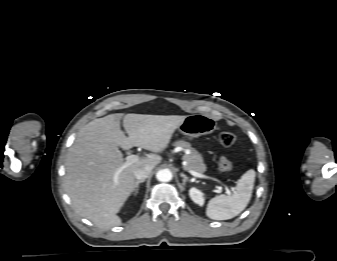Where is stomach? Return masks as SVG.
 Returning <instances> with one entry per match:
<instances>
[{
  "label": "stomach",
  "mask_w": 337,
  "mask_h": 261,
  "mask_svg": "<svg viewBox=\"0 0 337 261\" xmlns=\"http://www.w3.org/2000/svg\"><path fill=\"white\" fill-rule=\"evenodd\" d=\"M178 129L188 137L197 138L212 133L216 129V122L208 115L192 114L186 116Z\"/></svg>",
  "instance_id": "obj_1"
}]
</instances>
